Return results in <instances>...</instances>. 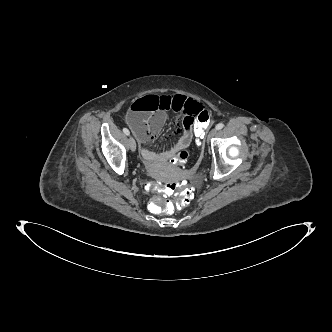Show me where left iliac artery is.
<instances>
[{
  "mask_svg": "<svg viewBox=\"0 0 332 332\" xmlns=\"http://www.w3.org/2000/svg\"><path fill=\"white\" fill-rule=\"evenodd\" d=\"M223 127H224V124H223V123H219V124L216 125V129H217V130L222 129Z\"/></svg>",
  "mask_w": 332,
  "mask_h": 332,
  "instance_id": "left-iliac-artery-1",
  "label": "left iliac artery"
}]
</instances>
